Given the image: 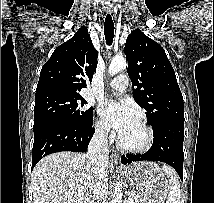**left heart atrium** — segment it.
<instances>
[{"mask_svg": "<svg viewBox=\"0 0 214 203\" xmlns=\"http://www.w3.org/2000/svg\"><path fill=\"white\" fill-rule=\"evenodd\" d=\"M99 110L106 123L120 134L126 132L139 120L134 106L122 98L104 102Z\"/></svg>", "mask_w": 214, "mask_h": 203, "instance_id": "1", "label": "left heart atrium"}]
</instances>
